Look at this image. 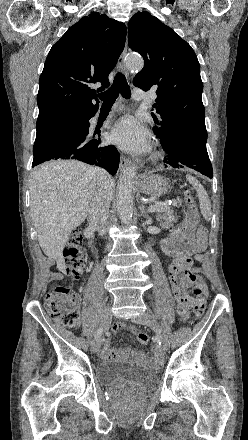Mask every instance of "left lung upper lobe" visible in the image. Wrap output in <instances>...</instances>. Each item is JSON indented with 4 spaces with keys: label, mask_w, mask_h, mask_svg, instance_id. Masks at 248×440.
I'll use <instances>...</instances> for the list:
<instances>
[{
    "label": "left lung upper lobe",
    "mask_w": 248,
    "mask_h": 440,
    "mask_svg": "<svg viewBox=\"0 0 248 440\" xmlns=\"http://www.w3.org/2000/svg\"><path fill=\"white\" fill-rule=\"evenodd\" d=\"M128 45L144 58V68L135 76L134 85L145 91L157 89L153 107L162 120L153 130L161 143L183 139L206 144L203 83L191 46L148 12L130 19Z\"/></svg>",
    "instance_id": "1"
}]
</instances>
